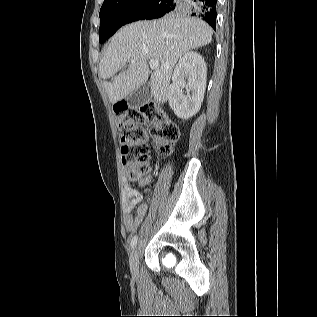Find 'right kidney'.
<instances>
[{
  "label": "right kidney",
  "mask_w": 317,
  "mask_h": 317,
  "mask_svg": "<svg viewBox=\"0 0 317 317\" xmlns=\"http://www.w3.org/2000/svg\"><path fill=\"white\" fill-rule=\"evenodd\" d=\"M206 72V63L197 52H187L180 58L168 90L169 106L178 118L187 119L199 111L206 89Z\"/></svg>",
  "instance_id": "1"
}]
</instances>
